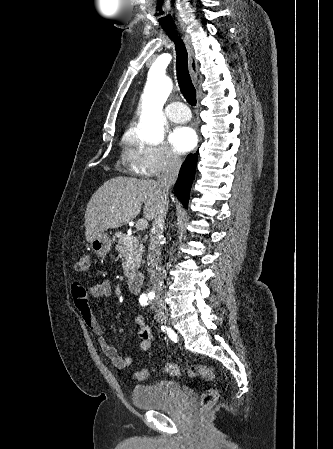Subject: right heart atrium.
<instances>
[{
    "mask_svg": "<svg viewBox=\"0 0 333 449\" xmlns=\"http://www.w3.org/2000/svg\"><path fill=\"white\" fill-rule=\"evenodd\" d=\"M132 145L130 159L141 177L154 178L163 173L175 172L181 166V158L163 143L149 144L134 140Z\"/></svg>",
    "mask_w": 333,
    "mask_h": 449,
    "instance_id": "d8ad5b80",
    "label": "right heart atrium"
}]
</instances>
